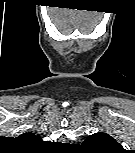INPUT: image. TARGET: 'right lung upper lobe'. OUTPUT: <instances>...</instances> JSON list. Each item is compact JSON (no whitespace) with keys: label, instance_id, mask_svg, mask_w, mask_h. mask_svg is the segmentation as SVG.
Wrapping results in <instances>:
<instances>
[{"label":"right lung upper lobe","instance_id":"cb5924a9","mask_svg":"<svg viewBox=\"0 0 135 153\" xmlns=\"http://www.w3.org/2000/svg\"><path fill=\"white\" fill-rule=\"evenodd\" d=\"M21 137L24 139H31V140L38 139V137H36L33 133H26V134H23Z\"/></svg>","mask_w":135,"mask_h":153}]
</instances>
